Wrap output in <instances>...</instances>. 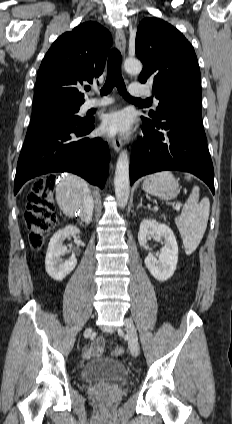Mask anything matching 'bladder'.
Segmentation results:
<instances>
[{
    "mask_svg": "<svg viewBox=\"0 0 232 424\" xmlns=\"http://www.w3.org/2000/svg\"><path fill=\"white\" fill-rule=\"evenodd\" d=\"M80 375L84 381L102 379L127 382L129 380V372L120 361L104 358L93 359L87 362L82 368Z\"/></svg>",
    "mask_w": 232,
    "mask_h": 424,
    "instance_id": "31cf9c89",
    "label": "bladder"
}]
</instances>
